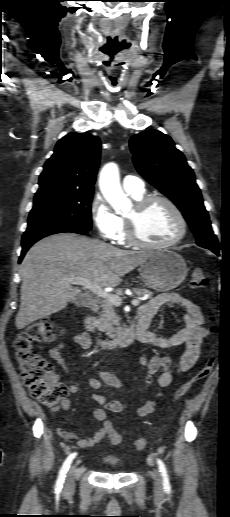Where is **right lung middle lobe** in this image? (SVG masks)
<instances>
[{
  "label": "right lung middle lobe",
  "mask_w": 230,
  "mask_h": 517,
  "mask_svg": "<svg viewBox=\"0 0 230 517\" xmlns=\"http://www.w3.org/2000/svg\"><path fill=\"white\" fill-rule=\"evenodd\" d=\"M93 191L50 194L34 198L27 229L66 224L91 229Z\"/></svg>",
  "instance_id": "right-lung-middle-lobe-1"
}]
</instances>
